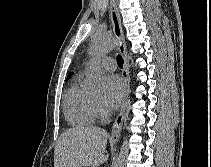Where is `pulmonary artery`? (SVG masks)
I'll list each match as a JSON object with an SVG mask.
<instances>
[{"instance_id":"pulmonary-artery-1","label":"pulmonary artery","mask_w":211,"mask_h":167,"mask_svg":"<svg viewBox=\"0 0 211 167\" xmlns=\"http://www.w3.org/2000/svg\"><path fill=\"white\" fill-rule=\"evenodd\" d=\"M100 66L107 71H114L117 64L114 59L107 57L101 61Z\"/></svg>"}]
</instances>
